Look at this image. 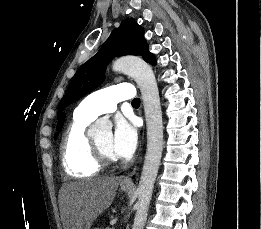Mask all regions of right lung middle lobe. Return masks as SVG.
Returning <instances> with one entry per match:
<instances>
[{"label": "right lung middle lobe", "mask_w": 261, "mask_h": 229, "mask_svg": "<svg viewBox=\"0 0 261 229\" xmlns=\"http://www.w3.org/2000/svg\"><path fill=\"white\" fill-rule=\"evenodd\" d=\"M61 129H62V125H59V126H57V131L59 132V131H61ZM58 136V133H56L55 134V138Z\"/></svg>", "instance_id": "1"}]
</instances>
